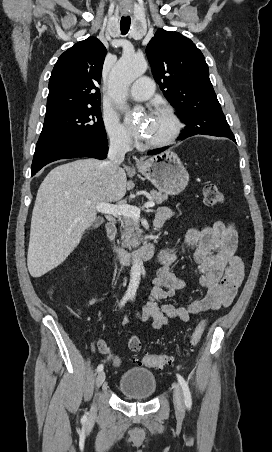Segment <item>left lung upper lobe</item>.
Wrapping results in <instances>:
<instances>
[{
	"label": "left lung upper lobe",
	"mask_w": 272,
	"mask_h": 452,
	"mask_svg": "<svg viewBox=\"0 0 272 452\" xmlns=\"http://www.w3.org/2000/svg\"><path fill=\"white\" fill-rule=\"evenodd\" d=\"M155 80L186 129L208 135L232 133L209 79L202 52L178 32L158 29L146 47Z\"/></svg>",
	"instance_id": "obj_1"
}]
</instances>
